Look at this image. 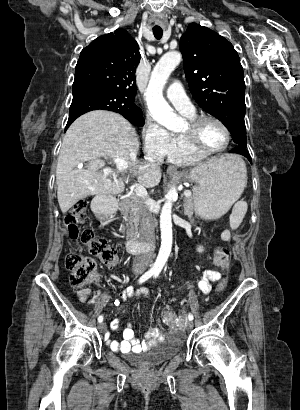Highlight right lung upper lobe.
Here are the masks:
<instances>
[{
  "instance_id": "right-lung-upper-lobe-1",
  "label": "right lung upper lobe",
  "mask_w": 300,
  "mask_h": 410,
  "mask_svg": "<svg viewBox=\"0 0 300 410\" xmlns=\"http://www.w3.org/2000/svg\"><path fill=\"white\" fill-rule=\"evenodd\" d=\"M140 62L137 42L124 29H117L92 41L81 51L73 85L88 83L121 96L126 112L136 105L135 70Z\"/></svg>"
}]
</instances>
